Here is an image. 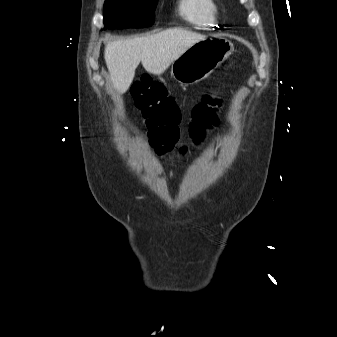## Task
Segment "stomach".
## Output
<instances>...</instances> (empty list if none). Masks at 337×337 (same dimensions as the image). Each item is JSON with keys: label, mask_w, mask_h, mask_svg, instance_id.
I'll return each instance as SVG.
<instances>
[{"label": "stomach", "mask_w": 337, "mask_h": 337, "mask_svg": "<svg viewBox=\"0 0 337 337\" xmlns=\"http://www.w3.org/2000/svg\"><path fill=\"white\" fill-rule=\"evenodd\" d=\"M233 52V44L225 38H207L190 46L172 63L176 81L191 85L207 78Z\"/></svg>", "instance_id": "obj_1"}]
</instances>
